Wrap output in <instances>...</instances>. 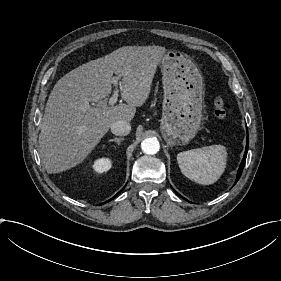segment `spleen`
Segmentation results:
<instances>
[{"label":"spleen","mask_w":281,"mask_h":281,"mask_svg":"<svg viewBox=\"0 0 281 281\" xmlns=\"http://www.w3.org/2000/svg\"><path fill=\"white\" fill-rule=\"evenodd\" d=\"M177 161L184 176L194 182L197 179L210 185L224 174L228 150L223 144L205 146L178 154Z\"/></svg>","instance_id":"3e777b00"}]
</instances>
